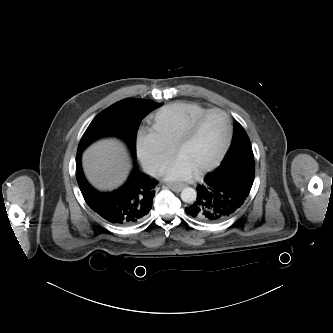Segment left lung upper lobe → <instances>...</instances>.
I'll return each instance as SVG.
<instances>
[{
    "mask_svg": "<svg viewBox=\"0 0 333 333\" xmlns=\"http://www.w3.org/2000/svg\"><path fill=\"white\" fill-rule=\"evenodd\" d=\"M235 161L255 162L250 140L245 130L238 122L234 123V135L232 143L218 168Z\"/></svg>",
    "mask_w": 333,
    "mask_h": 333,
    "instance_id": "5c2ea615",
    "label": "left lung upper lobe"
}]
</instances>
